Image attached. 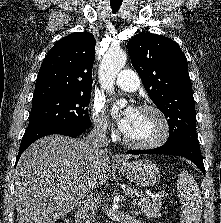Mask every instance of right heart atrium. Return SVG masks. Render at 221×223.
<instances>
[{"label":"right heart atrium","instance_id":"right-heart-atrium-1","mask_svg":"<svg viewBox=\"0 0 221 223\" xmlns=\"http://www.w3.org/2000/svg\"><path fill=\"white\" fill-rule=\"evenodd\" d=\"M90 117L94 126V129L99 134H108L112 132V127L109 120L103 113L100 103L94 101L90 107Z\"/></svg>","mask_w":221,"mask_h":223}]
</instances>
